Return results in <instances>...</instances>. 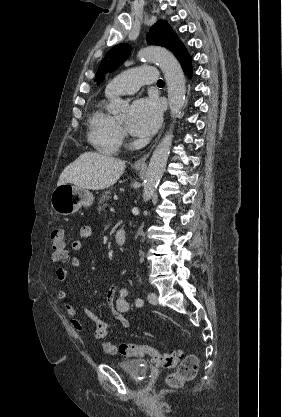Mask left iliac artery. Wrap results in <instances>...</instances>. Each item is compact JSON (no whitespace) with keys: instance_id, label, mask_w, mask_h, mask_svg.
Masks as SVG:
<instances>
[{"instance_id":"left-iliac-artery-1","label":"left iliac artery","mask_w":282,"mask_h":417,"mask_svg":"<svg viewBox=\"0 0 282 417\" xmlns=\"http://www.w3.org/2000/svg\"><path fill=\"white\" fill-rule=\"evenodd\" d=\"M135 304H136L137 307H140V306L143 305V300L138 298V299H136Z\"/></svg>"}]
</instances>
